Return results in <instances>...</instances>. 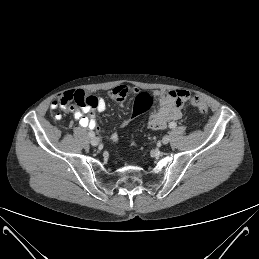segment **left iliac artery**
Returning <instances> with one entry per match:
<instances>
[{
  "label": "left iliac artery",
  "instance_id": "left-iliac-artery-1",
  "mask_svg": "<svg viewBox=\"0 0 259 259\" xmlns=\"http://www.w3.org/2000/svg\"><path fill=\"white\" fill-rule=\"evenodd\" d=\"M176 126H177V124H176L175 122H171V123L169 124V127H170L171 129L176 128Z\"/></svg>",
  "mask_w": 259,
  "mask_h": 259
}]
</instances>
